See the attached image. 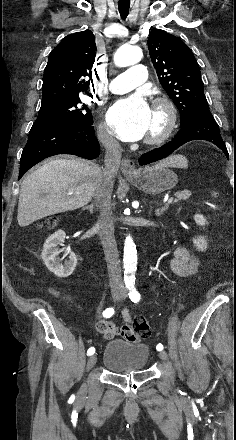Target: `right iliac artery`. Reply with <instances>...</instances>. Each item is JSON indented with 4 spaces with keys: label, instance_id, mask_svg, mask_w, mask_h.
I'll return each mask as SVG.
<instances>
[{
    "label": "right iliac artery",
    "instance_id": "82829eb1",
    "mask_svg": "<svg viewBox=\"0 0 236 440\" xmlns=\"http://www.w3.org/2000/svg\"><path fill=\"white\" fill-rule=\"evenodd\" d=\"M114 308H107L103 311V317L105 318H110L113 314H114ZM95 353V348L94 347H90L87 351V355H93Z\"/></svg>",
    "mask_w": 236,
    "mask_h": 440
}]
</instances>
